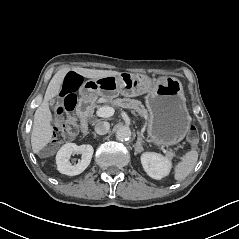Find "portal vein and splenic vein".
Segmentation results:
<instances>
[{"instance_id": "obj_1", "label": "portal vein and splenic vein", "mask_w": 239, "mask_h": 239, "mask_svg": "<svg viewBox=\"0 0 239 239\" xmlns=\"http://www.w3.org/2000/svg\"><path fill=\"white\" fill-rule=\"evenodd\" d=\"M114 108L112 107H100L97 111H96V114L98 117H111L114 115ZM162 149V153L165 154L166 156H169L170 154L168 153L167 150H165L163 147L161 148Z\"/></svg>"}]
</instances>
